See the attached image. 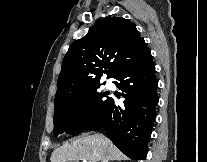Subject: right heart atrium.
Returning a JSON list of instances; mask_svg holds the SVG:
<instances>
[{"instance_id":"d8ad5b80","label":"right heart atrium","mask_w":207,"mask_h":162,"mask_svg":"<svg viewBox=\"0 0 207 162\" xmlns=\"http://www.w3.org/2000/svg\"><path fill=\"white\" fill-rule=\"evenodd\" d=\"M82 114H83V118L85 120H89L93 115L92 108L90 106L84 107L83 111H82Z\"/></svg>"}]
</instances>
